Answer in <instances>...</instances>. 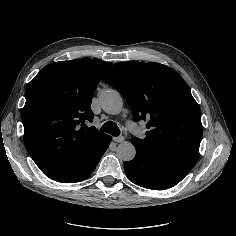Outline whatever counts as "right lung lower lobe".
Here are the masks:
<instances>
[{
	"label": "right lung lower lobe",
	"mask_w": 236,
	"mask_h": 236,
	"mask_svg": "<svg viewBox=\"0 0 236 236\" xmlns=\"http://www.w3.org/2000/svg\"><path fill=\"white\" fill-rule=\"evenodd\" d=\"M110 142L111 137L107 135L95 146L84 150L53 180L61 183H76L84 180L93 172Z\"/></svg>",
	"instance_id": "obj_1"
}]
</instances>
